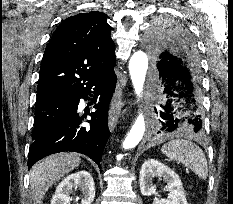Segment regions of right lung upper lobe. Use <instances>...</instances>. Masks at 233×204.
I'll return each instance as SVG.
<instances>
[{"mask_svg": "<svg viewBox=\"0 0 233 204\" xmlns=\"http://www.w3.org/2000/svg\"><path fill=\"white\" fill-rule=\"evenodd\" d=\"M115 63V46L105 16L98 11L71 16L59 25L46 47L37 102L71 96L112 71Z\"/></svg>", "mask_w": 233, "mask_h": 204, "instance_id": "obj_1", "label": "right lung upper lobe"}]
</instances>
